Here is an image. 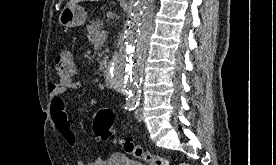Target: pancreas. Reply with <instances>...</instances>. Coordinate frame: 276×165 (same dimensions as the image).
I'll list each match as a JSON object with an SVG mask.
<instances>
[{"instance_id": "pancreas-1", "label": "pancreas", "mask_w": 276, "mask_h": 165, "mask_svg": "<svg viewBox=\"0 0 276 165\" xmlns=\"http://www.w3.org/2000/svg\"><path fill=\"white\" fill-rule=\"evenodd\" d=\"M102 29L103 21H101L100 19L92 20L90 24L87 26L88 39L91 42V44H102L104 42L105 39L98 40V34L102 31ZM104 54V51L98 54L99 70H103L106 66L107 57L104 56L103 59H100Z\"/></svg>"}]
</instances>
